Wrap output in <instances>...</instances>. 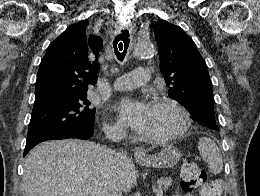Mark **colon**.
Returning <instances> with one entry per match:
<instances>
[{"label": "colon", "mask_w": 260, "mask_h": 196, "mask_svg": "<svg viewBox=\"0 0 260 196\" xmlns=\"http://www.w3.org/2000/svg\"><path fill=\"white\" fill-rule=\"evenodd\" d=\"M181 182L184 190H198L206 188L209 185V180L205 172L198 166L195 161L187 160L181 168ZM216 195L213 192H210Z\"/></svg>", "instance_id": "1"}]
</instances>
